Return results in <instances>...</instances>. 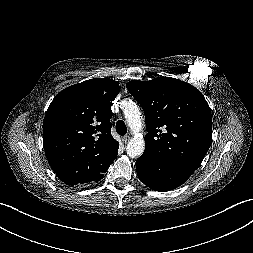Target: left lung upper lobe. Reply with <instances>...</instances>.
Segmentation results:
<instances>
[{"label":"left lung upper lobe","instance_id":"obj_1","mask_svg":"<svg viewBox=\"0 0 253 253\" xmlns=\"http://www.w3.org/2000/svg\"><path fill=\"white\" fill-rule=\"evenodd\" d=\"M145 113V151L170 167L200 166L212 142V116L194 86L171 77L126 84Z\"/></svg>","mask_w":253,"mask_h":253}]
</instances>
